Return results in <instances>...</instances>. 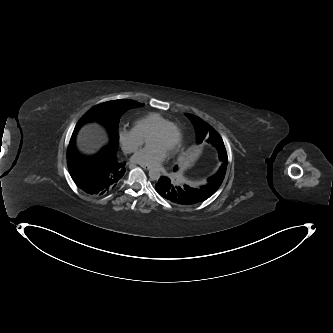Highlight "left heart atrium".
I'll return each instance as SVG.
<instances>
[{"label": "left heart atrium", "instance_id": "1", "mask_svg": "<svg viewBox=\"0 0 333 333\" xmlns=\"http://www.w3.org/2000/svg\"><path fill=\"white\" fill-rule=\"evenodd\" d=\"M167 151L157 145H147L133 155L132 161L138 164L157 165L166 156Z\"/></svg>", "mask_w": 333, "mask_h": 333}]
</instances>
